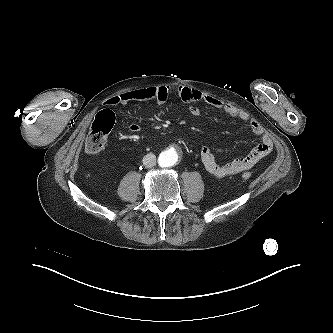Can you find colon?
<instances>
[{
  "instance_id": "obj_1",
  "label": "colon",
  "mask_w": 333,
  "mask_h": 333,
  "mask_svg": "<svg viewBox=\"0 0 333 333\" xmlns=\"http://www.w3.org/2000/svg\"><path fill=\"white\" fill-rule=\"evenodd\" d=\"M115 122L114 113L111 110H102L95 117L87 139L85 149L89 155L96 156L100 154L106 144L107 136L110 133ZM252 177L249 172L242 174V179L248 180Z\"/></svg>"
}]
</instances>
